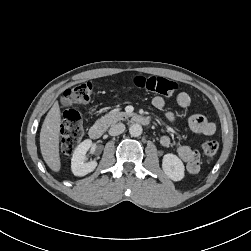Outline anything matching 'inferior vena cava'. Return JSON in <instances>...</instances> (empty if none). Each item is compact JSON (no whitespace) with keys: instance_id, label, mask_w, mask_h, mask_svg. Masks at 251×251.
<instances>
[{"instance_id":"602c4592","label":"inferior vena cava","mask_w":251,"mask_h":251,"mask_svg":"<svg viewBox=\"0 0 251 251\" xmlns=\"http://www.w3.org/2000/svg\"><path fill=\"white\" fill-rule=\"evenodd\" d=\"M125 131V125L123 123H118L113 125L109 129V135L111 136H117Z\"/></svg>"}]
</instances>
